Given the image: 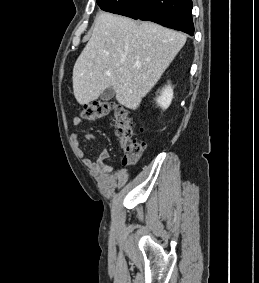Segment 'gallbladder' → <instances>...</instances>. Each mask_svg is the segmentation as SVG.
I'll use <instances>...</instances> for the list:
<instances>
[{
  "label": "gallbladder",
  "mask_w": 259,
  "mask_h": 283,
  "mask_svg": "<svg viewBox=\"0 0 259 283\" xmlns=\"http://www.w3.org/2000/svg\"><path fill=\"white\" fill-rule=\"evenodd\" d=\"M114 95H115V91H114L113 87H109L101 93L100 98L103 101H109L114 97Z\"/></svg>",
  "instance_id": "obj_1"
}]
</instances>
